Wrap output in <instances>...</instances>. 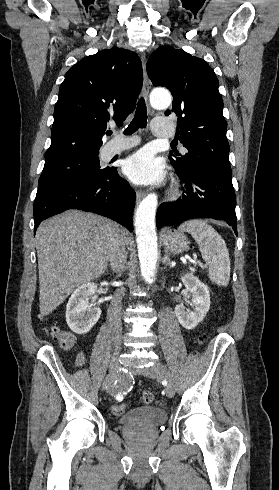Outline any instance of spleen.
<instances>
[{"label":"spleen","instance_id":"obj_1","mask_svg":"<svg viewBox=\"0 0 279 490\" xmlns=\"http://www.w3.org/2000/svg\"><path fill=\"white\" fill-rule=\"evenodd\" d=\"M181 232H189L198 244L199 252L209 266V278L217 286L226 288L230 280V258L227 246L218 232L202 220H191L179 226Z\"/></svg>","mask_w":279,"mask_h":490}]
</instances>
